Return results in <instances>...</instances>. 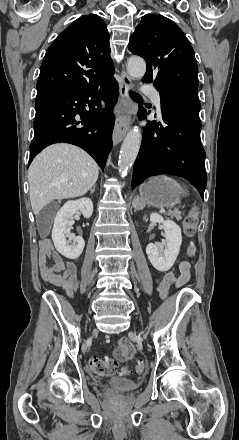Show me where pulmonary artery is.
I'll use <instances>...</instances> for the list:
<instances>
[{"mask_svg":"<svg viewBox=\"0 0 239 440\" xmlns=\"http://www.w3.org/2000/svg\"><path fill=\"white\" fill-rule=\"evenodd\" d=\"M151 96H152V99H153V101H154V103H155V105H156V107H157L158 114L160 115V113H161V100H160V95H159V93H158L157 91H153V92L151 93Z\"/></svg>","mask_w":239,"mask_h":440,"instance_id":"pulmonary-artery-1","label":"pulmonary artery"}]
</instances>
